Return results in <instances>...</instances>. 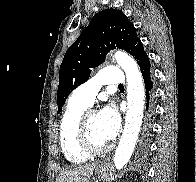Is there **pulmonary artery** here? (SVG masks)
<instances>
[{"instance_id": "pulmonary-artery-1", "label": "pulmonary artery", "mask_w": 196, "mask_h": 182, "mask_svg": "<svg viewBox=\"0 0 196 182\" xmlns=\"http://www.w3.org/2000/svg\"><path fill=\"white\" fill-rule=\"evenodd\" d=\"M125 83L123 72L117 67L104 68L88 82L77 87L72 93V99L85 106H91L101 87L106 85H121Z\"/></svg>"}]
</instances>
